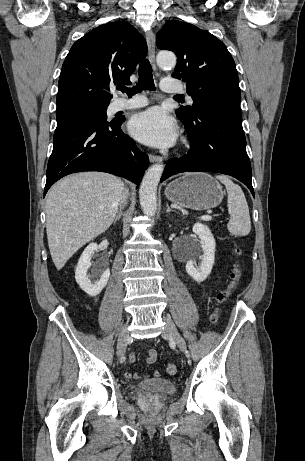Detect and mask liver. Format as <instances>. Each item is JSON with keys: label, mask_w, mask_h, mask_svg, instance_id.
<instances>
[{"label": "liver", "mask_w": 305, "mask_h": 461, "mask_svg": "<svg viewBox=\"0 0 305 461\" xmlns=\"http://www.w3.org/2000/svg\"><path fill=\"white\" fill-rule=\"evenodd\" d=\"M125 193L111 174L82 172L58 181L46 197V231L57 270L112 224Z\"/></svg>", "instance_id": "obj_1"}]
</instances>
